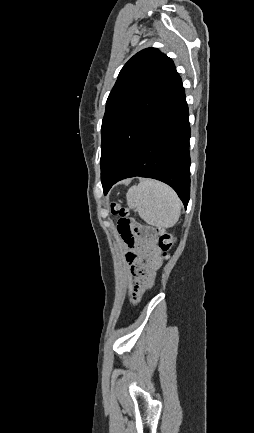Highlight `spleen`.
Masks as SVG:
<instances>
[{
	"label": "spleen",
	"instance_id": "1",
	"mask_svg": "<svg viewBox=\"0 0 254 433\" xmlns=\"http://www.w3.org/2000/svg\"><path fill=\"white\" fill-rule=\"evenodd\" d=\"M127 205L148 224L159 228L173 227L179 220L181 201L175 191L157 180H141L127 194Z\"/></svg>",
	"mask_w": 254,
	"mask_h": 433
}]
</instances>
